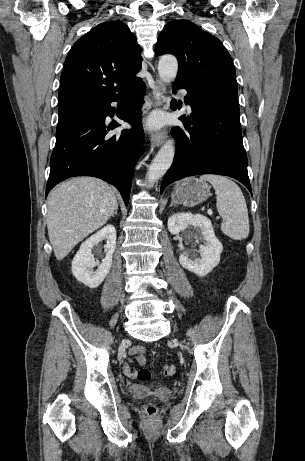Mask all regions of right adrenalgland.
<instances>
[{
  "label": "right adrenal gland",
  "mask_w": 305,
  "mask_h": 461,
  "mask_svg": "<svg viewBox=\"0 0 305 461\" xmlns=\"http://www.w3.org/2000/svg\"><path fill=\"white\" fill-rule=\"evenodd\" d=\"M117 210H118V205L116 206V208H115L113 214L111 215L112 217H113L114 215H117Z\"/></svg>",
  "instance_id": "obj_1"
}]
</instances>
